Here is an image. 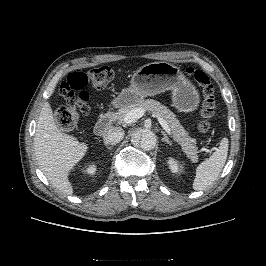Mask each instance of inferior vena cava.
<instances>
[{
	"instance_id": "602c4592",
	"label": "inferior vena cava",
	"mask_w": 266,
	"mask_h": 266,
	"mask_svg": "<svg viewBox=\"0 0 266 266\" xmlns=\"http://www.w3.org/2000/svg\"><path fill=\"white\" fill-rule=\"evenodd\" d=\"M124 130L120 127H111L103 135L104 142L107 144H118L124 138Z\"/></svg>"
}]
</instances>
